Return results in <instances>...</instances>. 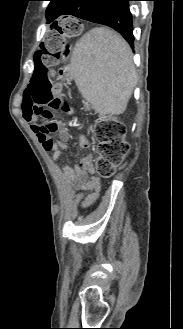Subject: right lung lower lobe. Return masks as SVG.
Instances as JSON below:
<instances>
[{
  "label": "right lung lower lobe",
  "instance_id": "1",
  "mask_svg": "<svg viewBox=\"0 0 183 329\" xmlns=\"http://www.w3.org/2000/svg\"><path fill=\"white\" fill-rule=\"evenodd\" d=\"M131 0H59L48 9L57 18L69 14L95 23L104 24L118 31L133 48L132 15L128 8Z\"/></svg>",
  "mask_w": 183,
  "mask_h": 329
}]
</instances>
